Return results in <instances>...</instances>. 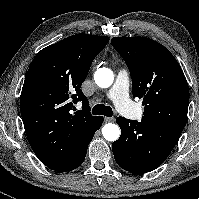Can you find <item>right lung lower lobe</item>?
I'll return each mask as SVG.
<instances>
[{
	"label": "right lung lower lobe",
	"mask_w": 199,
	"mask_h": 199,
	"mask_svg": "<svg viewBox=\"0 0 199 199\" xmlns=\"http://www.w3.org/2000/svg\"><path fill=\"white\" fill-rule=\"evenodd\" d=\"M102 123L103 117L99 116L90 126L76 132L66 141L62 154L57 157L47 155L49 142L40 129L34 130L32 135H26L33 151L44 165L57 172H66L76 169L83 163L88 145Z\"/></svg>",
	"instance_id": "98d812e1"
}]
</instances>
